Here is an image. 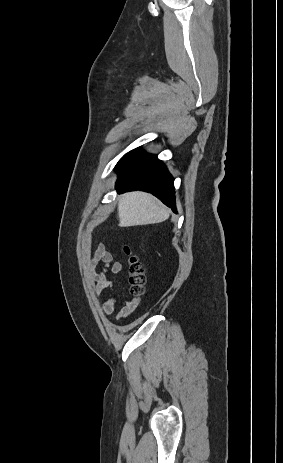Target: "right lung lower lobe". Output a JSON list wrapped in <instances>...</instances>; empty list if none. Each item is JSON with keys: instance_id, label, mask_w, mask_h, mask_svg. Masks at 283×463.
Here are the masks:
<instances>
[{"instance_id": "98d812e1", "label": "right lung lower lobe", "mask_w": 283, "mask_h": 463, "mask_svg": "<svg viewBox=\"0 0 283 463\" xmlns=\"http://www.w3.org/2000/svg\"><path fill=\"white\" fill-rule=\"evenodd\" d=\"M116 171L119 173L116 182L119 193L134 190L150 192L176 211L174 179L156 156L134 149L120 159Z\"/></svg>"}]
</instances>
